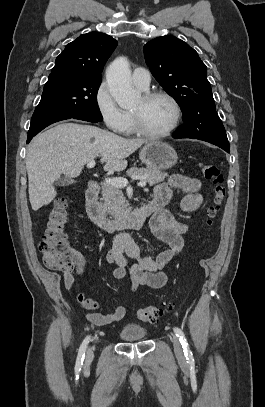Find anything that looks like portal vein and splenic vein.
Masks as SVG:
<instances>
[{"mask_svg":"<svg viewBox=\"0 0 265 407\" xmlns=\"http://www.w3.org/2000/svg\"><path fill=\"white\" fill-rule=\"evenodd\" d=\"M95 166V160H91L87 163V168L91 169ZM105 183H108L114 187H118V188H124L128 185V180L125 178H105L104 179ZM147 185V182L144 180H140V182L138 183V186L140 187H145Z\"/></svg>","mask_w":265,"mask_h":407,"instance_id":"18ae733b","label":"portal vein and splenic vein"}]
</instances>
